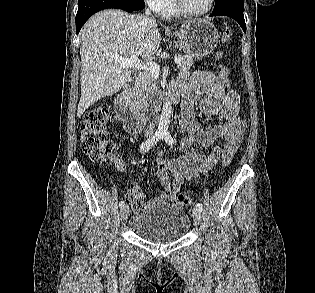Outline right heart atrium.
Returning a JSON list of instances; mask_svg holds the SVG:
<instances>
[{
    "instance_id": "obj_1",
    "label": "right heart atrium",
    "mask_w": 315,
    "mask_h": 293,
    "mask_svg": "<svg viewBox=\"0 0 315 293\" xmlns=\"http://www.w3.org/2000/svg\"><path fill=\"white\" fill-rule=\"evenodd\" d=\"M147 5L155 12H161L166 0H145Z\"/></svg>"
}]
</instances>
